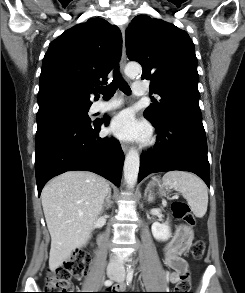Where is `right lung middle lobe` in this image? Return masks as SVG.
Instances as JSON below:
<instances>
[{"label":"right lung middle lobe","mask_w":245,"mask_h":293,"mask_svg":"<svg viewBox=\"0 0 245 293\" xmlns=\"http://www.w3.org/2000/svg\"><path fill=\"white\" fill-rule=\"evenodd\" d=\"M90 106L91 104L60 103L39 108L36 138L62 124L90 122L91 120L88 116Z\"/></svg>","instance_id":"right-lung-middle-lobe-1"}]
</instances>
